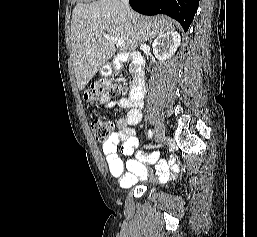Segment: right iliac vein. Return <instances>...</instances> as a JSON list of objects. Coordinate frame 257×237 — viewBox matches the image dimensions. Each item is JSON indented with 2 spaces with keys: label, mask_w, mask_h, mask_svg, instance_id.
Segmentation results:
<instances>
[{
  "label": "right iliac vein",
  "mask_w": 257,
  "mask_h": 237,
  "mask_svg": "<svg viewBox=\"0 0 257 237\" xmlns=\"http://www.w3.org/2000/svg\"><path fill=\"white\" fill-rule=\"evenodd\" d=\"M164 139V130L163 127L158 125L155 129V141L157 143L162 142Z\"/></svg>",
  "instance_id": "63e3f726"
}]
</instances>
